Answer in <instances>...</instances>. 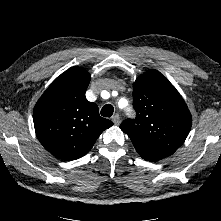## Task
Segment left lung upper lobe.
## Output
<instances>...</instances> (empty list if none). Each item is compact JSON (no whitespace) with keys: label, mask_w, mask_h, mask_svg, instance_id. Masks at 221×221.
<instances>
[{"label":"left lung upper lobe","mask_w":221,"mask_h":221,"mask_svg":"<svg viewBox=\"0 0 221 221\" xmlns=\"http://www.w3.org/2000/svg\"><path fill=\"white\" fill-rule=\"evenodd\" d=\"M136 119H126L120 128L134 146L165 158L188 136L192 117L174 86L157 70H149L133 83Z\"/></svg>","instance_id":"obj_1"}]
</instances>
